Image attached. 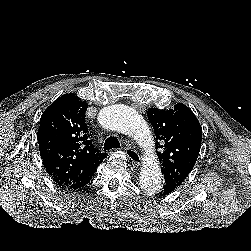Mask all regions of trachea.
Listing matches in <instances>:
<instances>
[{"label":"trachea","instance_id":"3493384b","mask_svg":"<svg viewBox=\"0 0 251 251\" xmlns=\"http://www.w3.org/2000/svg\"><path fill=\"white\" fill-rule=\"evenodd\" d=\"M112 148H121L118 139L114 136L108 137L104 143V151L110 150Z\"/></svg>","mask_w":251,"mask_h":251}]
</instances>
